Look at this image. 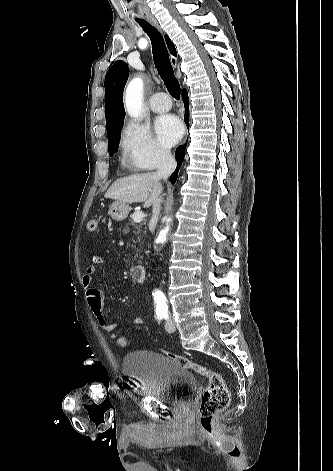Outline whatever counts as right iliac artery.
I'll return each instance as SVG.
<instances>
[{"mask_svg": "<svg viewBox=\"0 0 333 471\" xmlns=\"http://www.w3.org/2000/svg\"><path fill=\"white\" fill-rule=\"evenodd\" d=\"M157 318H158V320H161L163 318V313H161V312L157 313Z\"/></svg>", "mask_w": 333, "mask_h": 471, "instance_id": "obj_1", "label": "right iliac artery"}]
</instances>
